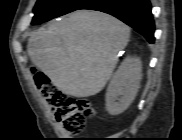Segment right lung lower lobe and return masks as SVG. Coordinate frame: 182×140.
Instances as JSON below:
<instances>
[{
    "instance_id": "obj_1",
    "label": "right lung lower lobe",
    "mask_w": 182,
    "mask_h": 140,
    "mask_svg": "<svg viewBox=\"0 0 182 140\" xmlns=\"http://www.w3.org/2000/svg\"><path fill=\"white\" fill-rule=\"evenodd\" d=\"M79 9L111 14L154 43V20L149 0H89Z\"/></svg>"
}]
</instances>
